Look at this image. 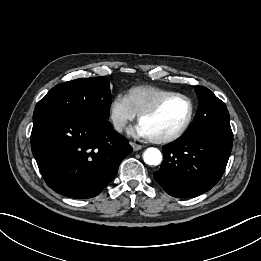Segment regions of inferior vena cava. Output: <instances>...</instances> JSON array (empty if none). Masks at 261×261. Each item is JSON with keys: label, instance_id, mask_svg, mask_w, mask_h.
I'll list each match as a JSON object with an SVG mask.
<instances>
[{"label": "inferior vena cava", "instance_id": "602c4592", "mask_svg": "<svg viewBox=\"0 0 261 261\" xmlns=\"http://www.w3.org/2000/svg\"><path fill=\"white\" fill-rule=\"evenodd\" d=\"M114 126H115V129H116V130L121 131L122 128H123V126H124V124H123L122 122H116V123L114 124Z\"/></svg>", "mask_w": 261, "mask_h": 261}]
</instances>
